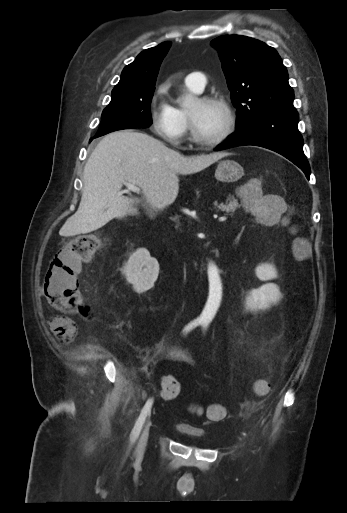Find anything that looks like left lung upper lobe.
I'll return each instance as SVG.
<instances>
[{
	"label": "left lung upper lobe",
	"instance_id": "obj_1",
	"mask_svg": "<svg viewBox=\"0 0 347 513\" xmlns=\"http://www.w3.org/2000/svg\"><path fill=\"white\" fill-rule=\"evenodd\" d=\"M211 44L219 52L231 100L237 108V129L263 114L296 111L287 70L274 48L239 35H223Z\"/></svg>",
	"mask_w": 347,
	"mask_h": 513
}]
</instances>
